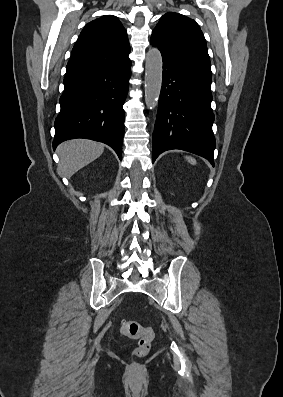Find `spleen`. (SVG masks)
Returning <instances> with one entry per match:
<instances>
[{
  "label": "spleen",
  "instance_id": "obj_1",
  "mask_svg": "<svg viewBox=\"0 0 283 397\" xmlns=\"http://www.w3.org/2000/svg\"><path fill=\"white\" fill-rule=\"evenodd\" d=\"M185 158L190 164H192V165L196 164V160L194 158H192L191 156H186Z\"/></svg>",
  "mask_w": 283,
  "mask_h": 397
}]
</instances>
